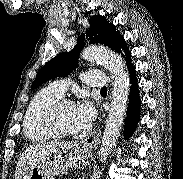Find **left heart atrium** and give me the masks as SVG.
<instances>
[{
    "mask_svg": "<svg viewBox=\"0 0 183 179\" xmlns=\"http://www.w3.org/2000/svg\"><path fill=\"white\" fill-rule=\"evenodd\" d=\"M77 127L79 130L87 128L95 118V109L88 101H82L75 106Z\"/></svg>",
    "mask_w": 183,
    "mask_h": 179,
    "instance_id": "1",
    "label": "left heart atrium"
}]
</instances>
